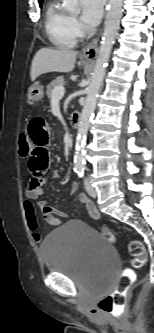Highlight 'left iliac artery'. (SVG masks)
<instances>
[{"label": "left iliac artery", "instance_id": "44dca946", "mask_svg": "<svg viewBox=\"0 0 154 333\" xmlns=\"http://www.w3.org/2000/svg\"><path fill=\"white\" fill-rule=\"evenodd\" d=\"M77 175L81 178L84 175V170L80 169L78 172H76Z\"/></svg>", "mask_w": 154, "mask_h": 333}]
</instances>
